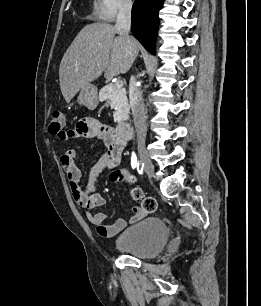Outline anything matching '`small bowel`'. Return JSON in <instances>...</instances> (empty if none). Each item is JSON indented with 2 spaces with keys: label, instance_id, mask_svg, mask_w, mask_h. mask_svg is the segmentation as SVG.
Listing matches in <instances>:
<instances>
[{
  "label": "small bowel",
  "instance_id": "c3829d8e",
  "mask_svg": "<svg viewBox=\"0 0 261 306\" xmlns=\"http://www.w3.org/2000/svg\"><path fill=\"white\" fill-rule=\"evenodd\" d=\"M71 138L98 140L103 144V150L92 166L88 181L84 186L82 185V173L75 164L76 150L65 151L60 161L68 178L71 194L76 203L86 210L88 221L96 227L100 236L113 237L127 226V221L120 218L112 224H105L107 215L103 212H93L95 208L105 204V199L100 194L92 193V190L103 172L114 169L120 163L127 140L121 138L111 128L92 119L80 120L75 128L67 130L65 136L61 139L68 140ZM114 172L110 175L111 181ZM132 212L130 222H136L144 215L140 206H134Z\"/></svg>",
  "mask_w": 261,
  "mask_h": 306
}]
</instances>
